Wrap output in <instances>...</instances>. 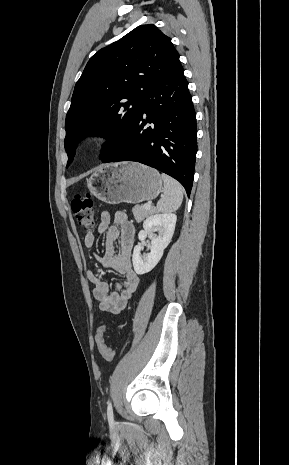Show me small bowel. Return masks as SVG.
Here are the masks:
<instances>
[{"label":"small bowel","mask_w":289,"mask_h":465,"mask_svg":"<svg viewBox=\"0 0 289 465\" xmlns=\"http://www.w3.org/2000/svg\"><path fill=\"white\" fill-rule=\"evenodd\" d=\"M98 234H106V250L102 257H97L105 268L117 271L122 277L115 291H110L108 283L92 269H87L86 276L93 284V296L99 302L100 310L118 314L126 308L131 295L139 285V276L131 263L134 244V227L123 212L115 213L112 218L108 211L100 214L97 227ZM119 239V248L115 242ZM84 245L91 248L95 243V235L84 236Z\"/></svg>","instance_id":"c3829d8e"}]
</instances>
